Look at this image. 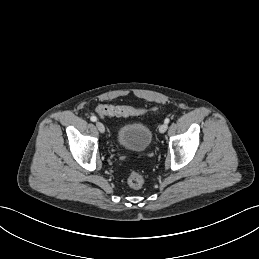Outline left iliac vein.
Wrapping results in <instances>:
<instances>
[{"label": "left iliac vein", "mask_w": 259, "mask_h": 259, "mask_svg": "<svg viewBox=\"0 0 259 259\" xmlns=\"http://www.w3.org/2000/svg\"><path fill=\"white\" fill-rule=\"evenodd\" d=\"M167 128H168V125L166 123H164V124L160 125L159 132L164 133L167 130Z\"/></svg>", "instance_id": "4c4485c4"}]
</instances>
